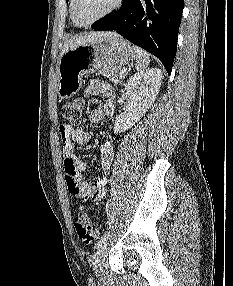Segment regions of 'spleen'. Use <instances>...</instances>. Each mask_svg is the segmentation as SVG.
<instances>
[{"label": "spleen", "instance_id": "obj_1", "mask_svg": "<svg viewBox=\"0 0 233 286\" xmlns=\"http://www.w3.org/2000/svg\"><path fill=\"white\" fill-rule=\"evenodd\" d=\"M135 55H136V70L144 71L149 65L150 62V55L145 50L141 49L138 46H133Z\"/></svg>", "mask_w": 233, "mask_h": 286}]
</instances>
